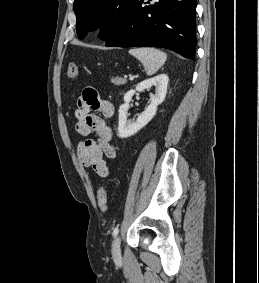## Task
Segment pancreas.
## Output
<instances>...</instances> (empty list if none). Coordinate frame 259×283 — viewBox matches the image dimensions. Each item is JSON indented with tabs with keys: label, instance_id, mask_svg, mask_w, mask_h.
Masks as SVG:
<instances>
[{
	"label": "pancreas",
	"instance_id": "cf45deb5",
	"mask_svg": "<svg viewBox=\"0 0 259 283\" xmlns=\"http://www.w3.org/2000/svg\"><path fill=\"white\" fill-rule=\"evenodd\" d=\"M111 82L115 85H124L127 83V80L122 77H112Z\"/></svg>",
	"mask_w": 259,
	"mask_h": 283
}]
</instances>
